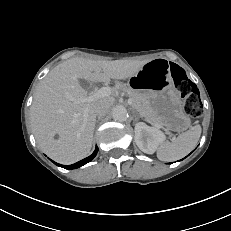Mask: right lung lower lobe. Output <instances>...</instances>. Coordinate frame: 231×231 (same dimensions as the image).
<instances>
[{
  "instance_id": "98d812e1",
  "label": "right lung lower lobe",
  "mask_w": 231,
  "mask_h": 231,
  "mask_svg": "<svg viewBox=\"0 0 231 231\" xmlns=\"http://www.w3.org/2000/svg\"><path fill=\"white\" fill-rule=\"evenodd\" d=\"M98 150H99L98 147H96V149L94 150L93 154H91L89 157H87V158H85V159H83V160H81V161H79V162H77L75 164L69 165V166H67V165H61V164H57V163H55V164L57 166L65 168V169L79 168V167L85 165L86 163L90 162L96 156Z\"/></svg>"
}]
</instances>
